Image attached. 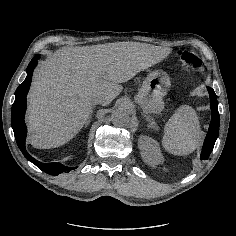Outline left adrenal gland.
<instances>
[{
  "mask_svg": "<svg viewBox=\"0 0 236 236\" xmlns=\"http://www.w3.org/2000/svg\"><path fill=\"white\" fill-rule=\"evenodd\" d=\"M145 120H147L148 122H151L152 124H154V123H155L153 119H151V118H148V117H146V116H145Z\"/></svg>",
  "mask_w": 236,
  "mask_h": 236,
  "instance_id": "obj_1",
  "label": "left adrenal gland"
}]
</instances>
